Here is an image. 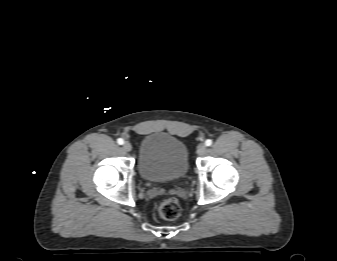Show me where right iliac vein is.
<instances>
[{
    "label": "right iliac vein",
    "instance_id": "obj_1",
    "mask_svg": "<svg viewBox=\"0 0 337 261\" xmlns=\"http://www.w3.org/2000/svg\"><path fill=\"white\" fill-rule=\"evenodd\" d=\"M123 149L126 151V152H130L132 150V145L130 142H125L123 144Z\"/></svg>",
    "mask_w": 337,
    "mask_h": 261
}]
</instances>
